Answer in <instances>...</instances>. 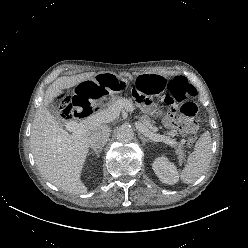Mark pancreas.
<instances>
[{
  "label": "pancreas",
  "instance_id": "1",
  "mask_svg": "<svg viewBox=\"0 0 248 248\" xmlns=\"http://www.w3.org/2000/svg\"><path fill=\"white\" fill-rule=\"evenodd\" d=\"M124 103H129L132 107H133V101L132 99H127V98H123V97H115L113 98L109 103H108V107L118 104V106H121V109H126L125 106L123 105ZM139 121L145 125L146 128H149L151 131H153L151 124H150V120L148 117L146 116H142L139 118ZM174 133L173 132H169V136H167L168 138L171 139L172 143L169 144L172 147L176 148V153L179 156V158L181 160L184 159V150H183V145L182 143L177 142L175 139H172L171 136H173Z\"/></svg>",
  "mask_w": 248,
  "mask_h": 248
}]
</instances>
